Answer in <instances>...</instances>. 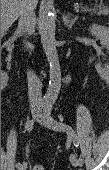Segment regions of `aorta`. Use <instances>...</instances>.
I'll use <instances>...</instances> for the list:
<instances>
[{
	"label": "aorta",
	"mask_w": 109,
	"mask_h": 170,
	"mask_svg": "<svg viewBox=\"0 0 109 170\" xmlns=\"http://www.w3.org/2000/svg\"><path fill=\"white\" fill-rule=\"evenodd\" d=\"M55 15L53 10L46 7L40 20L41 42L49 63V87L44 96V102L54 104L61 88V69L55 40Z\"/></svg>",
	"instance_id": "762f6f07"
}]
</instances>
